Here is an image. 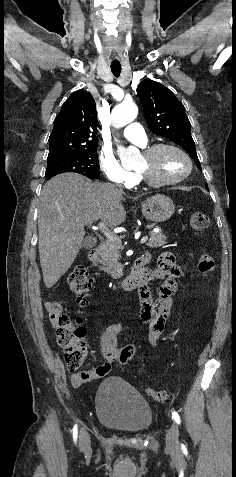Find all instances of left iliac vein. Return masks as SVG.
<instances>
[{
  "mask_svg": "<svg viewBox=\"0 0 236 477\" xmlns=\"http://www.w3.org/2000/svg\"><path fill=\"white\" fill-rule=\"evenodd\" d=\"M178 435V426L173 423L166 434V446L168 449L176 450L179 447Z\"/></svg>",
  "mask_w": 236,
  "mask_h": 477,
  "instance_id": "4c4485c4",
  "label": "left iliac vein"
}]
</instances>
